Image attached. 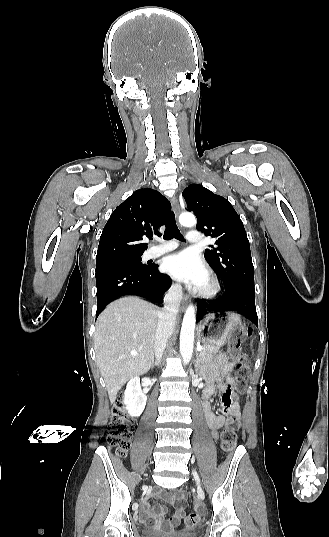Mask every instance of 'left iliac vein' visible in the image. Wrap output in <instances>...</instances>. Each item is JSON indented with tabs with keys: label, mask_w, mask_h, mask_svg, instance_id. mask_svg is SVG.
Wrapping results in <instances>:
<instances>
[{
	"label": "left iliac vein",
	"mask_w": 329,
	"mask_h": 537,
	"mask_svg": "<svg viewBox=\"0 0 329 537\" xmlns=\"http://www.w3.org/2000/svg\"><path fill=\"white\" fill-rule=\"evenodd\" d=\"M193 475H194V478L197 482V485H198V490H201V486H200V482H199V477H198V474L196 473L195 470H193Z\"/></svg>",
	"instance_id": "obj_1"
}]
</instances>
